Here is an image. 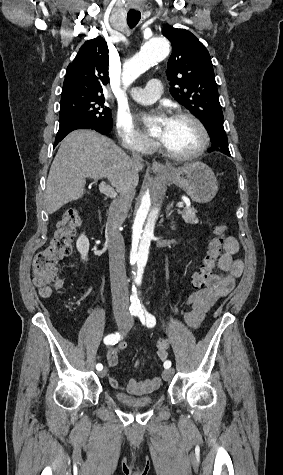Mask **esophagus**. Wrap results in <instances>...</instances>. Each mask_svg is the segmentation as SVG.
<instances>
[{"mask_svg":"<svg viewBox=\"0 0 283 475\" xmlns=\"http://www.w3.org/2000/svg\"><path fill=\"white\" fill-rule=\"evenodd\" d=\"M151 166L154 170L165 171V172L167 171V167L165 165L155 160L152 162Z\"/></svg>","mask_w":283,"mask_h":475,"instance_id":"esophagus-1","label":"esophagus"}]
</instances>
